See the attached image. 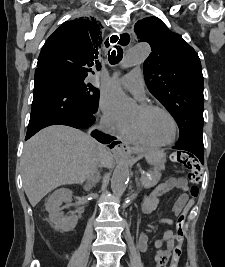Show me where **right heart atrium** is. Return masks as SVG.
I'll return each mask as SVG.
<instances>
[{"mask_svg": "<svg viewBox=\"0 0 225 267\" xmlns=\"http://www.w3.org/2000/svg\"><path fill=\"white\" fill-rule=\"evenodd\" d=\"M100 118L105 128L123 136L129 127V121L120 116L113 104L105 97L99 102Z\"/></svg>", "mask_w": 225, "mask_h": 267, "instance_id": "obj_1", "label": "right heart atrium"}]
</instances>
